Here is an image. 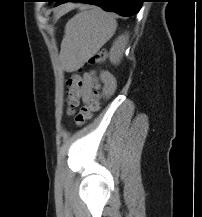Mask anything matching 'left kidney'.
Listing matches in <instances>:
<instances>
[{
	"label": "left kidney",
	"instance_id": "left-kidney-1",
	"mask_svg": "<svg viewBox=\"0 0 202 217\" xmlns=\"http://www.w3.org/2000/svg\"><path fill=\"white\" fill-rule=\"evenodd\" d=\"M124 46L121 44V39L117 41L110 50L109 59L114 65L119 64L123 56Z\"/></svg>",
	"mask_w": 202,
	"mask_h": 217
}]
</instances>
